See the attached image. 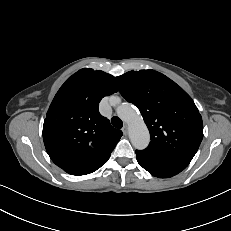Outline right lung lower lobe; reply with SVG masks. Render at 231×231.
<instances>
[{"label": "right lung lower lobe", "instance_id": "1", "mask_svg": "<svg viewBox=\"0 0 231 231\" xmlns=\"http://www.w3.org/2000/svg\"><path fill=\"white\" fill-rule=\"evenodd\" d=\"M109 159V158H108ZM107 159V160H108ZM107 160H105L102 164H100L98 167H96L95 169H93L92 171H90V172H88L87 174H89V173H92V172H94V171H96L98 168H100L102 165H104L106 162H107Z\"/></svg>", "mask_w": 231, "mask_h": 231}]
</instances>
